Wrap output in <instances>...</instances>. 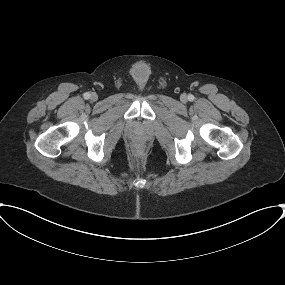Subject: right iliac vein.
<instances>
[{"label": "right iliac vein", "instance_id": "right-iliac-vein-1", "mask_svg": "<svg viewBox=\"0 0 285 285\" xmlns=\"http://www.w3.org/2000/svg\"><path fill=\"white\" fill-rule=\"evenodd\" d=\"M98 99V96L96 93L91 94V100L96 101Z\"/></svg>", "mask_w": 285, "mask_h": 285}]
</instances>
